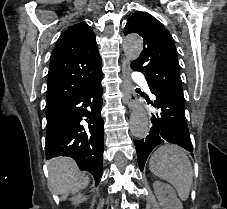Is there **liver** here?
<instances>
[{"mask_svg": "<svg viewBox=\"0 0 227 209\" xmlns=\"http://www.w3.org/2000/svg\"><path fill=\"white\" fill-rule=\"evenodd\" d=\"M48 171V187L54 195H64L68 191L74 195L89 185V177L81 175L75 161L69 157L52 159Z\"/></svg>", "mask_w": 227, "mask_h": 209, "instance_id": "1", "label": "liver"}]
</instances>
